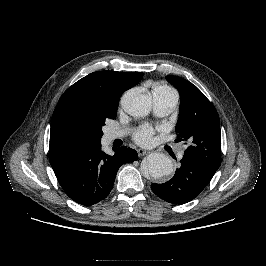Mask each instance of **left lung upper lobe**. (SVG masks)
<instances>
[{"instance_id": "left-lung-upper-lobe-1", "label": "left lung upper lobe", "mask_w": 266, "mask_h": 266, "mask_svg": "<svg viewBox=\"0 0 266 266\" xmlns=\"http://www.w3.org/2000/svg\"><path fill=\"white\" fill-rule=\"evenodd\" d=\"M166 79L180 93L177 140L191 144L184 157L217 171L221 164V131L215 107L191 82L177 76Z\"/></svg>"}]
</instances>
